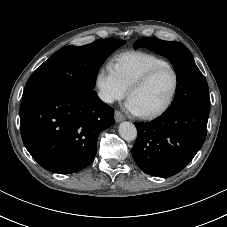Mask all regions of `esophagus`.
<instances>
[{"instance_id": "34e87169", "label": "esophagus", "mask_w": 227, "mask_h": 227, "mask_svg": "<svg viewBox=\"0 0 227 227\" xmlns=\"http://www.w3.org/2000/svg\"><path fill=\"white\" fill-rule=\"evenodd\" d=\"M125 120V116L120 111H115V121L121 122Z\"/></svg>"}]
</instances>
